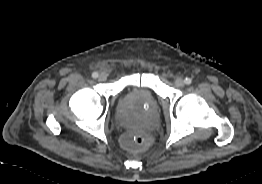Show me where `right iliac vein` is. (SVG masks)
Instances as JSON below:
<instances>
[{"label":"right iliac vein","instance_id":"1","mask_svg":"<svg viewBox=\"0 0 262 184\" xmlns=\"http://www.w3.org/2000/svg\"><path fill=\"white\" fill-rule=\"evenodd\" d=\"M106 79H107V76L104 73H101L98 77V80L101 82L106 81Z\"/></svg>","mask_w":262,"mask_h":184}]
</instances>
